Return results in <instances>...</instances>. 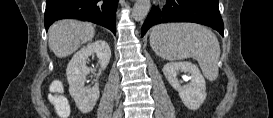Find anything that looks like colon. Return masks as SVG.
I'll use <instances>...</instances> for the list:
<instances>
[{"label":"colon","mask_w":273,"mask_h":118,"mask_svg":"<svg viewBox=\"0 0 273 118\" xmlns=\"http://www.w3.org/2000/svg\"><path fill=\"white\" fill-rule=\"evenodd\" d=\"M60 89L61 85L59 83L52 85V94L50 97V101L54 105L56 112L61 117H66L69 115V105L66 98L59 94Z\"/></svg>","instance_id":"colon-1"}]
</instances>
